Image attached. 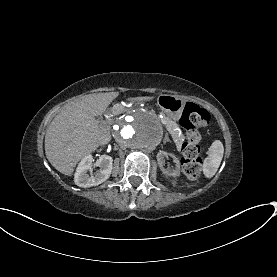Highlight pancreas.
I'll return each instance as SVG.
<instances>
[{
  "mask_svg": "<svg viewBox=\"0 0 277 277\" xmlns=\"http://www.w3.org/2000/svg\"><path fill=\"white\" fill-rule=\"evenodd\" d=\"M166 130L172 136V144L175 147H180L183 144V137L180 135V129L177 127L176 123L169 121L166 125Z\"/></svg>",
  "mask_w": 277,
  "mask_h": 277,
  "instance_id": "1",
  "label": "pancreas"
}]
</instances>
